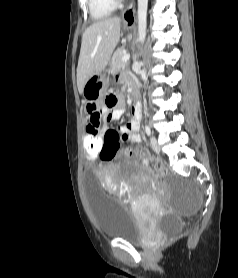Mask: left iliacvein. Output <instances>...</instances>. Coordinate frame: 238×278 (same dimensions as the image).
Masks as SVG:
<instances>
[{"mask_svg": "<svg viewBox=\"0 0 238 278\" xmlns=\"http://www.w3.org/2000/svg\"><path fill=\"white\" fill-rule=\"evenodd\" d=\"M150 143H151L153 149H154L156 152H160V146H159V144H158V142H157L156 137L152 136V137L150 138Z\"/></svg>", "mask_w": 238, "mask_h": 278, "instance_id": "4c4485c4", "label": "left iliac vein"}]
</instances>
